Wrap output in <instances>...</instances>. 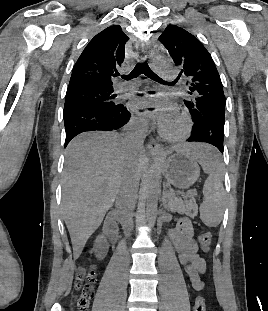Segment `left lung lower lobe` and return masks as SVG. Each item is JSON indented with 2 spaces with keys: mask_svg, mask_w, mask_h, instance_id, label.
<instances>
[{
  "mask_svg": "<svg viewBox=\"0 0 268 311\" xmlns=\"http://www.w3.org/2000/svg\"><path fill=\"white\" fill-rule=\"evenodd\" d=\"M224 117L225 107H213L205 113L198 121L194 122L192 133L187 141L204 140L219 149L224 151Z\"/></svg>",
  "mask_w": 268,
  "mask_h": 311,
  "instance_id": "0a47b994",
  "label": "left lung lower lobe"
}]
</instances>
